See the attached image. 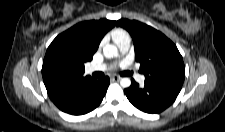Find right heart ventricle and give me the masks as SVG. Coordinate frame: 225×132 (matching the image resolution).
Instances as JSON below:
<instances>
[{"label": "right heart ventricle", "mask_w": 225, "mask_h": 132, "mask_svg": "<svg viewBox=\"0 0 225 132\" xmlns=\"http://www.w3.org/2000/svg\"><path fill=\"white\" fill-rule=\"evenodd\" d=\"M111 36L117 44L124 39L130 38L128 32L120 28L113 30Z\"/></svg>", "instance_id": "1"}]
</instances>
